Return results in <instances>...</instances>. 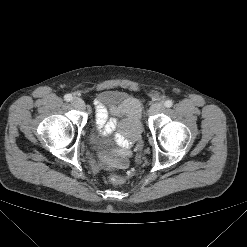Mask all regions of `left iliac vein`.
Listing matches in <instances>:
<instances>
[{
    "label": "left iliac vein",
    "mask_w": 247,
    "mask_h": 247,
    "mask_svg": "<svg viewBox=\"0 0 247 247\" xmlns=\"http://www.w3.org/2000/svg\"><path fill=\"white\" fill-rule=\"evenodd\" d=\"M164 109V105L160 102L154 103L150 109H149V114L154 115L162 112Z\"/></svg>",
    "instance_id": "1"
}]
</instances>
